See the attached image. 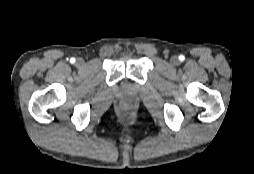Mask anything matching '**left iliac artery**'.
<instances>
[{
    "mask_svg": "<svg viewBox=\"0 0 254 174\" xmlns=\"http://www.w3.org/2000/svg\"><path fill=\"white\" fill-rule=\"evenodd\" d=\"M179 59H180V60H183V59H184V57H183V56H180V57H179Z\"/></svg>",
    "mask_w": 254,
    "mask_h": 174,
    "instance_id": "obj_1",
    "label": "left iliac artery"
}]
</instances>
